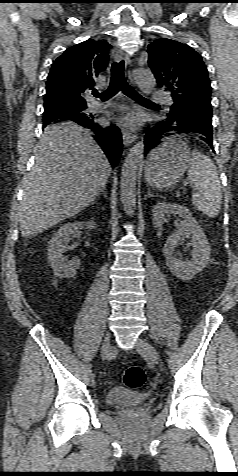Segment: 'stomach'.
<instances>
[{"instance_id":"stomach-1","label":"stomach","mask_w":238,"mask_h":476,"mask_svg":"<svg viewBox=\"0 0 238 476\" xmlns=\"http://www.w3.org/2000/svg\"><path fill=\"white\" fill-rule=\"evenodd\" d=\"M191 162V152L185 142L169 138L150 152L144 166L146 182L159 190L173 187Z\"/></svg>"}]
</instances>
